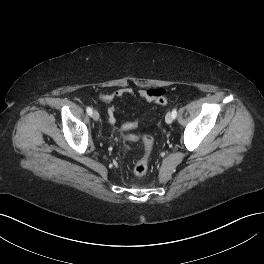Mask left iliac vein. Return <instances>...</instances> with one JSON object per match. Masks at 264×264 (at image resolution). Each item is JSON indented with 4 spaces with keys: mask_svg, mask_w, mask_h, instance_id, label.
<instances>
[{
    "mask_svg": "<svg viewBox=\"0 0 264 264\" xmlns=\"http://www.w3.org/2000/svg\"><path fill=\"white\" fill-rule=\"evenodd\" d=\"M165 121H166V123H168V124L172 123V121H173V117H172V114H171L170 112L166 114V116H165Z\"/></svg>",
    "mask_w": 264,
    "mask_h": 264,
    "instance_id": "4c4485c4",
    "label": "left iliac vein"
}]
</instances>
